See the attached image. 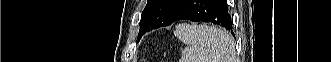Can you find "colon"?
<instances>
[{
    "label": "colon",
    "instance_id": "1",
    "mask_svg": "<svg viewBox=\"0 0 331 62\" xmlns=\"http://www.w3.org/2000/svg\"><path fill=\"white\" fill-rule=\"evenodd\" d=\"M141 62H146L145 60H142Z\"/></svg>",
    "mask_w": 331,
    "mask_h": 62
}]
</instances>
